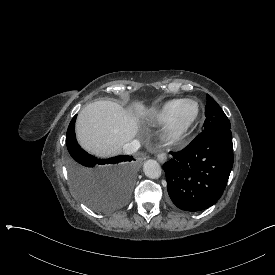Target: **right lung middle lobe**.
I'll return each mask as SVG.
<instances>
[{"instance_id":"right-lung-middle-lobe-1","label":"right lung middle lobe","mask_w":275,"mask_h":275,"mask_svg":"<svg viewBox=\"0 0 275 275\" xmlns=\"http://www.w3.org/2000/svg\"><path fill=\"white\" fill-rule=\"evenodd\" d=\"M75 120L76 115L66 134L67 167L72 189L93 210L110 213L129 199L138 166L128 155L97 159L88 154L77 143Z\"/></svg>"}]
</instances>
